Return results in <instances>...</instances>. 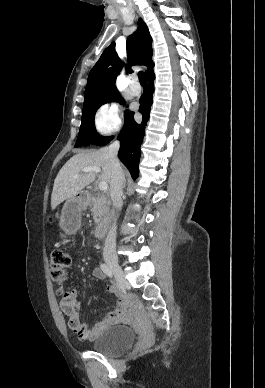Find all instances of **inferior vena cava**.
I'll list each match as a JSON object with an SVG mask.
<instances>
[{
  "instance_id": "obj_1",
  "label": "inferior vena cava",
  "mask_w": 265,
  "mask_h": 388,
  "mask_svg": "<svg viewBox=\"0 0 265 388\" xmlns=\"http://www.w3.org/2000/svg\"><path fill=\"white\" fill-rule=\"evenodd\" d=\"M120 148V142H113L108 148L107 158L111 164V180H110V196L114 208L121 210L123 206L122 202V188L124 184V174L120 166V162L117 158L118 150ZM104 258H112L116 256V224H113L108 232V236L105 240Z\"/></svg>"
}]
</instances>
